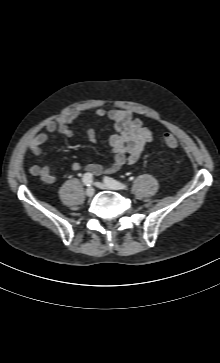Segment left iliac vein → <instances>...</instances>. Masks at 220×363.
I'll return each instance as SVG.
<instances>
[{
	"label": "left iliac vein",
	"instance_id": "4c4485c4",
	"mask_svg": "<svg viewBox=\"0 0 220 363\" xmlns=\"http://www.w3.org/2000/svg\"><path fill=\"white\" fill-rule=\"evenodd\" d=\"M95 186L100 188V189H103V190H119V188L117 187H112L106 183H103V182H95Z\"/></svg>",
	"mask_w": 220,
	"mask_h": 363
}]
</instances>
